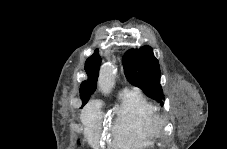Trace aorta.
Masks as SVG:
<instances>
[{"mask_svg":"<svg viewBox=\"0 0 227 149\" xmlns=\"http://www.w3.org/2000/svg\"><path fill=\"white\" fill-rule=\"evenodd\" d=\"M116 67L112 63H106L101 67L99 75V87L104 94H109L114 86Z\"/></svg>","mask_w":227,"mask_h":149,"instance_id":"762f6f07","label":"aorta"}]
</instances>
